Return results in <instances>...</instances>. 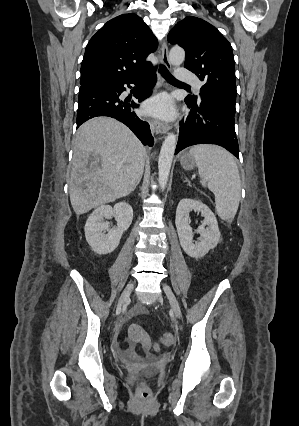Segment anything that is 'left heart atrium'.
<instances>
[{"instance_id": "1", "label": "left heart atrium", "mask_w": 299, "mask_h": 426, "mask_svg": "<svg viewBox=\"0 0 299 426\" xmlns=\"http://www.w3.org/2000/svg\"><path fill=\"white\" fill-rule=\"evenodd\" d=\"M148 113L162 119H172L175 116V104L171 96L167 94L159 95L146 104Z\"/></svg>"}]
</instances>
